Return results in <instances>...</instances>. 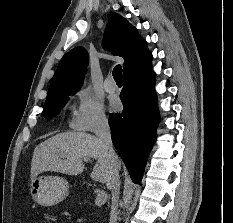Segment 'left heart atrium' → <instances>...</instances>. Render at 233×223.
Wrapping results in <instances>:
<instances>
[{
	"label": "left heart atrium",
	"instance_id": "39dd6f15",
	"mask_svg": "<svg viewBox=\"0 0 233 223\" xmlns=\"http://www.w3.org/2000/svg\"><path fill=\"white\" fill-rule=\"evenodd\" d=\"M110 109L112 112L119 111V102L116 99L111 100Z\"/></svg>",
	"mask_w": 233,
	"mask_h": 223
}]
</instances>
